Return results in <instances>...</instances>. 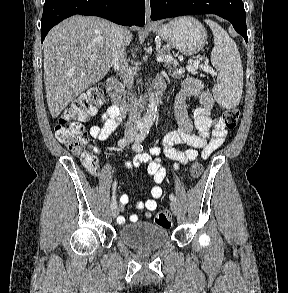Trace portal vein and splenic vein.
Here are the masks:
<instances>
[{"instance_id":"18ae733b","label":"portal vein and splenic vein","mask_w":288,"mask_h":293,"mask_svg":"<svg viewBox=\"0 0 288 293\" xmlns=\"http://www.w3.org/2000/svg\"><path fill=\"white\" fill-rule=\"evenodd\" d=\"M95 58H96L95 55L91 57V59H95ZM171 60H173V57L171 55H160L157 57L158 62H168ZM198 67L202 68L206 72H210L211 74H214V71L211 67L203 66V65L199 66V62H195L194 64L187 66V70L191 73H194L198 69Z\"/></svg>"}]
</instances>
